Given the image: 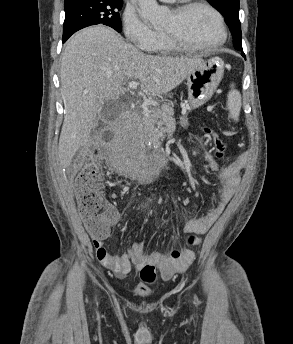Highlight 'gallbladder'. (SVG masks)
Instances as JSON below:
<instances>
[{"mask_svg":"<svg viewBox=\"0 0 293 344\" xmlns=\"http://www.w3.org/2000/svg\"><path fill=\"white\" fill-rule=\"evenodd\" d=\"M121 108L116 100L107 101L101 108L98 119L109 121L115 119L120 114Z\"/></svg>","mask_w":293,"mask_h":344,"instance_id":"gallbladder-1","label":"gallbladder"}]
</instances>
